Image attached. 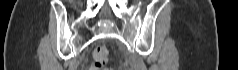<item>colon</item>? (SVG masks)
<instances>
[{"mask_svg":"<svg viewBox=\"0 0 238 70\" xmlns=\"http://www.w3.org/2000/svg\"><path fill=\"white\" fill-rule=\"evenodd\" d=\"M108 50L104 46H97L94 49L93 57H94V64L92 70H101L104 65L107 63L108 60ZM107 70H112L110 67Z\"/></svg>","mask_w":238,"mask_h":70,"instance_id":"1","label":"colon"}]
</instances>
